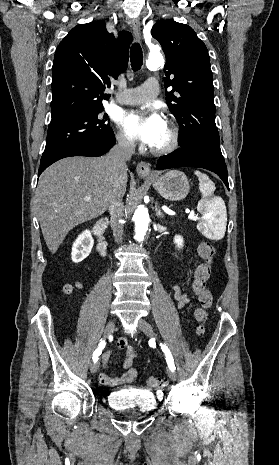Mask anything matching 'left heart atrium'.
Returning a JSON list of instances; mask_svg holds the SVG:
<instances>
[{
    "label": "left heart atrium",
    "instance_id": "1",
    "mask_svg": "<svg viewBox=\"0 0 279 465\" xmlns=\"http://www.w3.org/2000/svg\"><path fill=\"white\" fill-rule=\"evenodd\" d=\"M122 124L131 137L151 146L166 123L157 112L153 111L145 115L127 114L122 118Z\"/></svg>",
    "mask_w": 279,
    "mask_h": 465
}]
</instances>
